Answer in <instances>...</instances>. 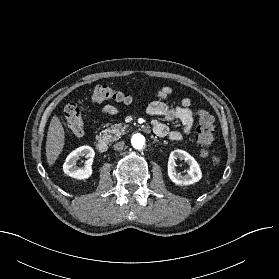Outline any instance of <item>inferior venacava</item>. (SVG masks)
<instances>
[{
	"instance_id": "obj_1",
	"label": "inferior vena cava",
	"mask_w": 279,
	"mask_h": 279,
	"mask_svg": "<svg viewBox=\"0 0 279 279\" xmlns=\"http://www.w3.org/2000/svg\"><path fill=\"white\" fill-rule=\"evenodd\" d=\"M124 145H125V142L124 141H120V142H117L116 144H114L113 147H114V150L119 151V150L123 149Z\"/></svg>"
}]
</instances>
